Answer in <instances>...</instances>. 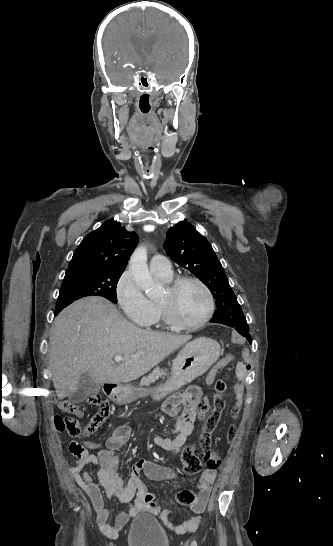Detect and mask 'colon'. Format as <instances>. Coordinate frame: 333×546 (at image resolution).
Returning <instances> with one entry per match:
<instances>
[{
	"mask_svg": "<svg viewBox=\"0 0 333 546\" xmlns=\"http://www.w3.org/2000/svg\"><path fill=\"white\" fill-rule=\"evenodd\" d=\"M235 398L237 401H242L246 393L245 386L241 380L233 381ZM227 388L224 380L218 379L215 382V390L218 393H223ZM87 402L92 406H99L98 411L93 415L88 424L81 426L77 418L73 416H55L54 425L59 432H67L72 437H87L94 434L108 418L111 407L108 401H102L98 394H91L87 398ZM198 413L200 417L201 433L197 444H192L184 447L181 453V459L184 466V471L187 475H195L203 469L201 456L206 462L207 469L214 470L218 467L219 462L210 457V441L211 434L215 429L220 415L225 407V402L220 395L214 396L212 403L209 404L205 399H200L197 402ZM59 408L69 414L76 416L81 415V410L77 404L69 399L59 401ZM239 406L236 405L232 409L234 417L238 415ZM235 436V429L231 427L228 431V439L231 440ZM177 501L182 506L193 505L196 502L195 495L190 490H182L177 494Z\"/></svg>",
	"mask_w": 333,
	"mask_h": 546,
	"instance_id": "5ec220e1",
	"label": "colon"
}]
</instances>
